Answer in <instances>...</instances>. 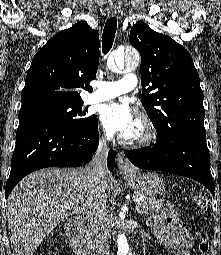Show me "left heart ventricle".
I'll return each instance as SVG.
<instances>
[{
  "label": "left heart ventricle",
  "instance_id": "1",
  "mask_svg": "<svg viewBox=\"0 0 221 255\" xmlns=\"http://www.w3.org/2000/svg\"><path fill=\"white\" fill-rule=\"evenodd\" d=\"M139 127L138 125L135 123V125L133 126V128L126 134L127 137L133 138V137H137L139 135Z\"/></svg>",
  "mask_w": 221,
  "mask_h": 255
}]
</instances>
